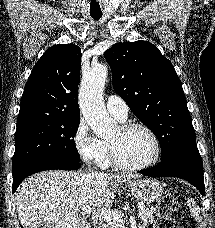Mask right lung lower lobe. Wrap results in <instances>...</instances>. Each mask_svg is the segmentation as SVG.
<instances>
[{
    "label": "right lung lower lobe",
    "mask_w": 215,
    "mask_h": 228,
    "mask_svg": "<svg viewBox=\"0 0 215 228\" xmlns=\"http://www.w3.org/2000/svg\"><path fill=\"white\" fill-rule=\"evenodd\" d=\"M80 168L79 162L52 158H42L17 164L13 167L12 192L14 193L20 183L29 175L45 170H76Z\"/></svg>",
    "instance_id": "98d812e1"
}]
</instances>
